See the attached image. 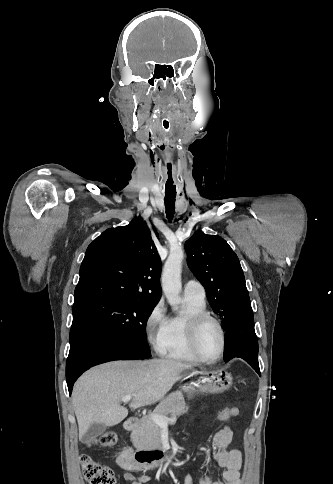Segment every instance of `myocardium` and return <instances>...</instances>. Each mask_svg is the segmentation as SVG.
<instances>
[{"mask_svg": "<svg viewBox=\"0 0 333 484\" xmlns=\"http://www.w3.org/2000/svg\"><path fill=\"white\" fill-rule=\"evenodd\" d=\"M206 322H212L217 326L219 333H220V338H221V347H220L219 353L217 354L216 357H214L212 359L206 358L201 353V351L199 349V344H198V338H199L200 330ZM188 340H189V344H190L192 352L201 362L214 363V362L218 361L219 359H221L222 356L224 355L225 348H226L225 329H224L222 323L215 316L211 315L210 313L197 314L190 319L189 324H188Z\"/></svg>", "mask_w": 333, "mask_h": 484, "instance_id": "obj_1", "label": "myocardium"}]
</instances>
